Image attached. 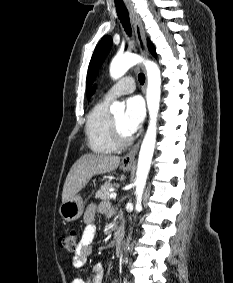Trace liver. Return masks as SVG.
I'll return each mask as SVG.
<instances>
[{"mask_svg": "<svg viewBox=\"0 0 233 283\" xmlns=\"http://www.w3.org/2000/svg\"><path fill=\"white\" fill-rule=\"evenodd\" d=\"M119 156L105 154H84L71 167L63 187L62 203L73 198L90 181L99 174H105L117 169Z\"/></svg>", "mask_w": 233, "mask_h": 283, "instance_id": "1", "label": "liver"}]
</instances>
